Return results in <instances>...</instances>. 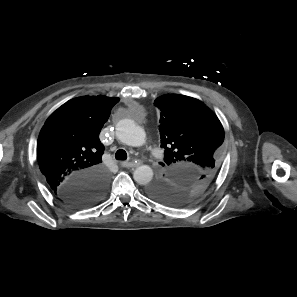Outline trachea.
Masks as SVG:
<instances>
[{
  "label": "trachea",
  "mask_w": 297,
  "mask_h": 297,
  "mask_svg": "<svg viewBox=\"0 0 297 297\" xmlns=\"http://www.w3.org/2000/svg\"><path fill=\"white\" fill-rule=\"evenodd\" d=\"M115 158L117 160H126L127 159V153L125 150L123 149H119L116 154H115Z\"/></svg>",
  "instance_id": "1"
}]
</instances>
